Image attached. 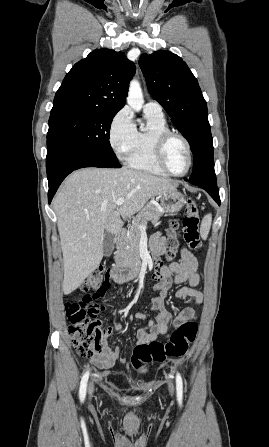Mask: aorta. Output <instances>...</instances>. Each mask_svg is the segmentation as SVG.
Masks as SVG:
<instances>
[{"label":"aorta","mask_w":269,"mask_h":447,"mask_svg":"<svg viewBox=\"0 0 269 447\" xmlns=\"http://www.w3.org/2000/svg\"><path fill=\"white\" fill-rule=\"evenodd\" d=\"M127 104L132 110H135V112H140L143 108L144 96L138 80H132V82H130Z\"/></svg>","instance_id":"aorta-1"}]
</instances>
